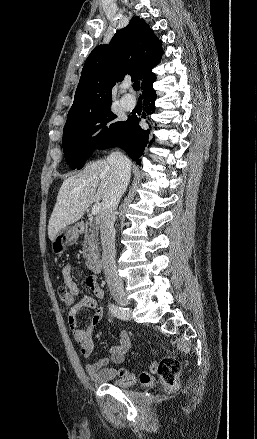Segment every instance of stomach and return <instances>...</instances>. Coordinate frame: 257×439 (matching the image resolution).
<instances>
[{"label":"stomach","mask_w":257,"mask_h":439,"mask_svg":"<svg viewBox=\"0 0 257 439\" xmlns=\"http://www.w3.org/2000/svg\"><path fill=\"white\" fill-rule=\"evenodd\" d=\"M79 236L77 226H68L63 228L52 241V252L56 255H62L66 247L76 242Z\"/></svg>","instance_id":"obj_1"}]
</instances>
